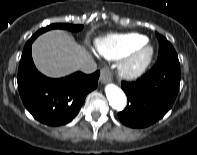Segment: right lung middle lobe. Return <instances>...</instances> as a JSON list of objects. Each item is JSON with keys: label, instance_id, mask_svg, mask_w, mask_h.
<instances>
[{"label": "right lung middle lobe", "instance_id": "1", "mask_svg": "<svg viewBox=\"0 0 197 155\" xmlns=\"http://www.w3.org/2000/svg\"><path fill=\"white\" fill-rule=\"evenodd\" d=\"M67 29L73 32H77L80 31L83 26L82 25H71V24H62V23H57V24H51L45 28L40 29L39 31H37L31 38L30 40H35L41 33H44L48 30L51 29Z\"/></svg>", "mask_w": 197, "mask_h": 155}]
</instances>
